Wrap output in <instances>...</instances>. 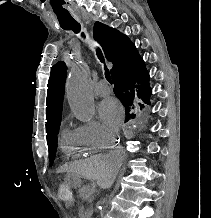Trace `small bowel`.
Segmentation results:
<instances>
[{
	"mask_svg": "<svg viewBox=\"0 0 211 218\" xmlns=\"http://www.w3.org/2000/svg\"><path fill=\"white\" fill-rule=\"evenodd\" d=\"M73 204H74V201L72 199L66 202L67 207H71L73 206Z\"/></svg>",
	"mask_w": 211,
	"mask_h": 218,
	"instance_id": "small-bowel-1",
	"label": "small bowel"
}]
</instances>
